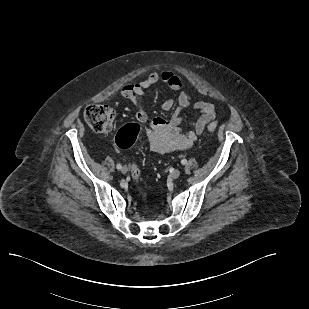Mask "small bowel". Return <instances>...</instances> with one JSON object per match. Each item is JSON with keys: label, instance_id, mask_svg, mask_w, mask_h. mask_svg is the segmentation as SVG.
<instances>
[{"label": "small bowel", "instance_id": "obj_1", "mask_svg": "<svg viewBox=\"0 0 309 309\" xmlns=\"http://www.w3.org/2000/svg\"><path fill=\"white\" fill-rule=\"evenodd\" d=\"M159 82L164 83L171 91L179 92V95L177 108L169 119L163 117L150 119L152 148L159 153L188 149L204 132L206 126L215 119V108L213 104L206 101H193L189 93L180 91L182 80L174 72L170 70L152 71L142 81L127 84L120 91L121 96L129 99L137 108L136 118L140 123L148 121V115L143 108V94ZM174 104V100L168 97L163 100L161 107L163 110L169 111L174 107ZM191 104L194 109L200 112V116L193 123L191 130L184 131L182 114Z\"/></svg>", "mask_w": 309, "mask_h": 309}]
</instances>
